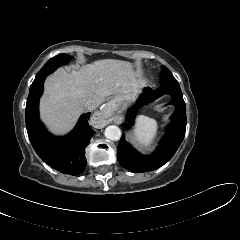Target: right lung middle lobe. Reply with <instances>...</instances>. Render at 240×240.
<instances>
[{"instance_id":"obj_1","label":"right lung middle lobe","mask_w":240,"mask_h":240,"mask_svg":"<svg viewBox=\"0 0 240 240\" xmlns=\"http://www.w3.org/2000/svg\"><path fill=\"white\" fill-rule=\"evenodd\" d=\"M70 56L66 54H59L51 58L43 68L38 72L31 87L36 85L42 78L54 72L59 66L65 65L69 62Z\"/></svg>"}]
</instances>
